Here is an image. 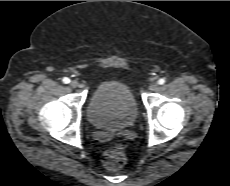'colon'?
Returning <instances> with one entry per match:
<instances>
[{
    "mask_svg": "<svg viewBox=\"0 0 230 186\" xmlns=\"http://www.w3.org/2000/svg\"><path fill=\"white\" fill-rule=\"evenodd\" d=\"M102 163L110 171L121 169L126 163V151L124 146L117 144L108 149L102 156Z\"/></svg>",
    "mask_w": 230,
    "mask_h": 186,
    "instance_id": "colon-1",
    "label": "colon"
}]
</instances>
